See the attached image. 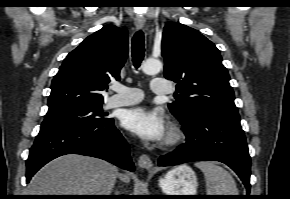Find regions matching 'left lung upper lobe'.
Segmentation results:
<instances>
[{"label":"left lung upper lobe","mask_w":290,"mask_h":199,"mask_svg":"<svg viewBox=\"0 0 290 199\" xmlns=\"http://www.w3.org/2000/svg\"><path fill=\"white\" fill-rule=\"evenodd\" d=\"M162 56L164 76L177 83L179 95L168 107L179 121L198 111L240 119L220 52L198 30L178 23L167 24L163 30Z\"/></svg>","instance_id":"left-lung-upper-lobe-1"}]
</instances>
